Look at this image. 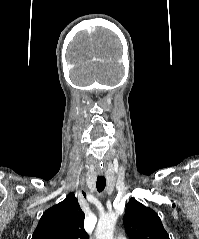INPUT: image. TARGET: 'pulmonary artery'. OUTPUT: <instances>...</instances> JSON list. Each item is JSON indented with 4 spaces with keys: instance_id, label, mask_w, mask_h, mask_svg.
Here are the masks:
<instances>
[{
    "instance_id": "pulmonary-artery-1",
    "label": "pulmonary artery",
    "mask_w": 199,
    "mask_h": 239,
    "mask_svg": "<svg viewBox=\"0 0 199 239\" xmlns=\"http://www.w3.org/2000/svg\"><path fill=\"white\" fill-rule=\"evenodd\" d=\"M115 239H126V237L123 236V235H118V236L115 237Z\"/></svg>"
}]
</instances>
